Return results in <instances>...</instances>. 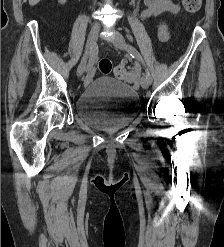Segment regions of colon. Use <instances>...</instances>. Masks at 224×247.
<instances>
[{
    "mask_svg": "<svg viewBox=\"0 0 224 247\" xmlns=\"http://www.w3.org/2000/svg\"><path fill=\"white\" fill-rule=\"evenodd\" d=\"M182 2L185 11L190 14L198 12L202 5V0H182ZM98 69L102 74H109L113 71L114 75L118 79L124 80L128 83H134L136 81V74L133 70H127L122 65H118L113 70L112 62L108 58L100 59Z\"/></svg>",
    "mask_w": 224,
    "mask_h": 247,
    "instance_id": "colon-1",
    "label": "colon"
}]
</instances>
